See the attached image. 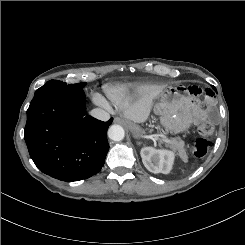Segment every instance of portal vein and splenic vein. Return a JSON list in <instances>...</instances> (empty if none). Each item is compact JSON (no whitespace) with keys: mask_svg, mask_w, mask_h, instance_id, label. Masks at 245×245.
Listing matches in <instances>:
<instances>
[{"mask_svg":"<svg viewBox=\"0 0 245 245\" xmlns=\"http://www.w3.org/2000/svg\"><path fill=\"white\" fill-rule=\"evenodd\" d=\"M160 140L164 141V142H169V139L163 137V138H159Z\"/></svg>","mask_w":245,"mask_h":245,"instance_id":"1","label":"portal vein and splenic vein"}]
</instances>
